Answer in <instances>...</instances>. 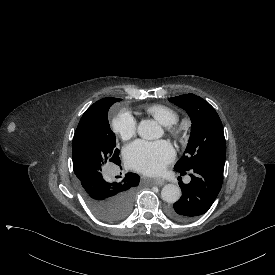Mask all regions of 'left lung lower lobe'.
Returning a JSON list of instances; mask_svg holds the SVG:
<instances>
[{
  "instance_id": "1",
  "label": "left lung lower lobe",
  "mask_w": 275,
  "mask_h": 275,
  "mask_svg": "<svg viewBox=\"0 0 275 275\" xmlns=\"http://www.w3.org/2000/svg\"><path fill=\"white\" fill-rule=\"evenodd\" d=\"M223 170L222 167L204 165L189 171H177L181 175L188 173L191 181L179 184L182 196L172 207H168L167 215L175 221L185 222L205 214L221 189Z\"/></svg>"
}]
</instances>
